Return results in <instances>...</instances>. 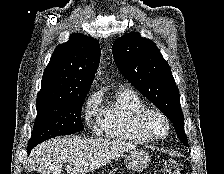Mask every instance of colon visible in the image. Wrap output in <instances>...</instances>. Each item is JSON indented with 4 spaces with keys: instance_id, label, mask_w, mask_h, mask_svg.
I'll return each mask as SVG.
<instances>
[{
    "instance_id": "obj_1",
    "label": "colon",
    "mask_w": 224,
    "mask_h": 174,
    "mask_svg": "<svg viewBox=\"0 0 224 174\" xmlns=\"http://www.w3.org/2000/svg\"><path fill=\"white\" fill-rule=\"evenodd\" d=\"M165 174H184V166L174 160H168L164 164Z\"/></svg>"
}]
</instances>
